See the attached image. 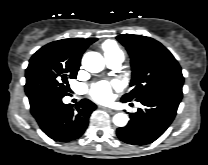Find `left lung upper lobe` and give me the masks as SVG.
<instances>
[{
  "label": "left lung upper lobe",
  "mask_w": 208,
  "mask_h": 165,
  "mask_svg": "<svg viewBox=\"0 0 208 165\" xmlns=\"http://www.w3.org/2000/svg\"><path fill=\"white\" fill-rule=\"evenodd\" d=\"M131 58L133 89L122 96L123 102L142 101L160 92L182 93L184 77L174 56L160 42L145 36H117Z\"/></svg>",
  "instance_id": "5c2ea615"
}]
</instances>
